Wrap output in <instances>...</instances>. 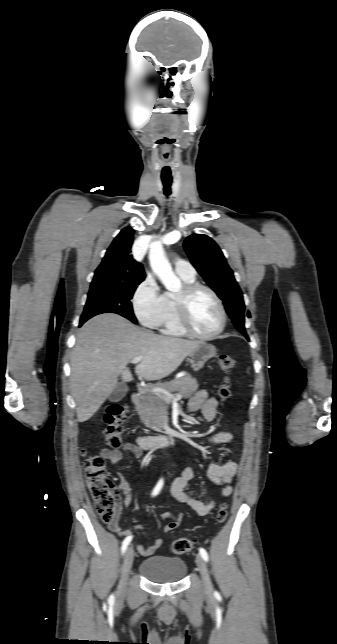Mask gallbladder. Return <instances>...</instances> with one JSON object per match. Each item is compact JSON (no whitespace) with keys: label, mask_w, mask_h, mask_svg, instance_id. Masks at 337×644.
Segmentation results:
<instances>
[{"label":"gallbladder","mask_w":337,"mask_h":644,"mask_svg":"<svg viewBox=\"0 0 337 644\" xmlns=\"http://www.w3.org/2000/svg\"><path fill=\"white\" fill-rule=\"evenodd\" d=\"M128 392V387L125 384H118L109 396L111 402H118L122 400Z\"/></svg>","instance_id":"bac80fb5"}]
</instances>
